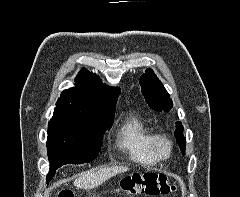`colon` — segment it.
I'll list each match as a JSON object with an SVG mask.
<instances>
[{
    "label": "colon",
    "mask_w": 240,
    "mask_h": 197,
    "mask_svg": "<svg viewBox=\"0 0 240 197\" xmlns=\"http://www.w3.org/2000/svg\"><path fill=\"white\" fill-rule=\"evenodd\" d=\"M175 190V185L163 174L145 173L125 177L117 189L118 194L132 196L140 193L148 195L165 194ZM56 197H74L70 190L60 191Z\"/></svg>",
    "instance_id": "5ec220e1"
}]
</instances>
